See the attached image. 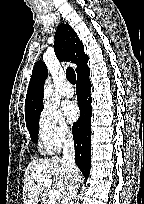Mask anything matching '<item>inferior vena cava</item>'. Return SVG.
Listing matches in <instances>:
<instances>
[{
    "mask_svg": "<svg viewBox=\"0 0 144 204\" xmlns=\"http://www.w3.org/2000/svg\"><path fill=\"white\" fill-rule=\"evenodd\" d=\"M63 160L66 162V165L68 167V175L70 176V187L62 203L73 204L72 200L77 195L81 176L80 171L75 164V148L73 136L71 133H67L63 139Z\"/></svg>",
    "mask_w": 144,
    "mask_h": 204,
    "instance_id": "602c4592",
    "label": "inferior vena cava"
}]
</instances>
